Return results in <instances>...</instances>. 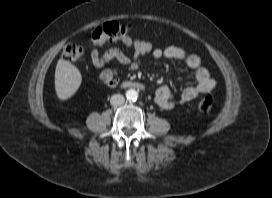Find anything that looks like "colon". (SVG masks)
Here are the masks:
<instances>
[{
    "mask_svg": "<svg viewBox=\"0 0 272 198\" xmlns=\"http://www.w3.org/2000/svg\"><path fill=\"white\" fill-rule=\"evenodd\" d=\"M130 24H123L117 21H111L104 24L102 27L95 29L92 33L91 39L96 44H102L107 41H114L127 37L132 32ZM64 59L72 62H77L83 59L84 49L74 43L67 44L62 51ZM213 97L206 93L199 102V109L202 112H208L212 108Z\"/></svg>",
    "mask_w": 272,
    "mask_h": 198,
    "instance_id": "obj_1",
    "label": "colon"
}]
</instances>
